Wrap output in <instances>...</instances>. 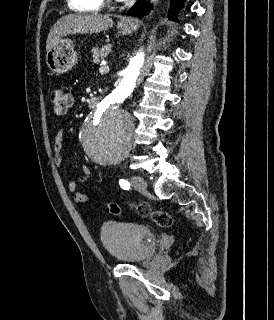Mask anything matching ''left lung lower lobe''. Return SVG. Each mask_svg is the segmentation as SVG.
Returning <instances> with one entry per match:
<instances>
[{
	"label": "left lung lower lobe",
	"mask_w": 274,
	"mask_h": 320,
	"mask_svg": "<svg viewBox=\"0 0 274 320\" xmlns=\"http://www.w3.org/2000/svg\"><path fill=\"white\" fill-rule=\"evenodd\" d=\"M185 0H171L168 16L171 20H176L178 11L183 8ZM152 6L146 0H137L129 9L128 14L131 16L142 17L150 12Z\"/></svg>",
	"instance_id": "left-lung-lower-lobe-1"
}]
</instances>
